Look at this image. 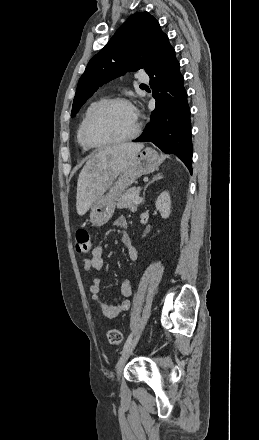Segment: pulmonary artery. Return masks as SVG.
I'll return each instance as SVG.
<instances>
[{
	"instance_id": "1",
	"label": "pulmonary artery",
	"mask_w": 259,
	"mask_h": 440,
	"mask_svg": "<svg viewBox=\"0 0 259 440\" xmlns=\"http://www.w3.org/2000/svg\"><path fill=\"white\" fill-rule=\"evenodd\" d=\"M138 80H139V82H141V83H148V82H149V77H148L147 75H145V74H141V75L138 77Z\"/></svg>"
}]
</instances>
